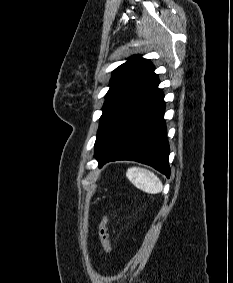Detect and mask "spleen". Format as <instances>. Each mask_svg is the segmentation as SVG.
Segmentation results:
<instances>
[{
    "mask_svg": "<svg viewBox=\"0 0 233 283\" xmlns=\"http://www.w3.org/2000/svg\"><path fill=\"white\" fill-rule=\"evenodd\" d=\"M126 177L134 186L146 193L157 194L163 189L160 179L147 169L138 167L129 168L126 172Z\"/></svg>",
    "mask_w": 233,
    "mask_h": 283,
    "instance_id": "spleen-1",
    "label": "spleen"
}]
</instances>
